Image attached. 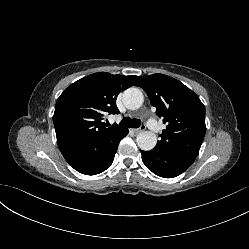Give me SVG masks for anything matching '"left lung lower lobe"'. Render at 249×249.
I'll return each instance as SVG.
<instances>
[{
    "mask_svg": "<svg viewBox=\"0 0 249 249\" xmlns=\"http://www.w3.org/2000/svg\"><path fill=\"white\" fill-rule=\"evenodd\" d=\"M142 161L145 166L154 174L173 178L183 173L196 158L172 154L152 149L151 151H141Z\"/></svg>",
    "mask_w": 249,
    "mask_h": 249,
    "instance_id": "0a47b994",
    "label": "left lung lower lobe"
}]
</instances>
